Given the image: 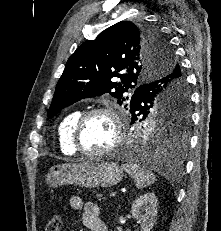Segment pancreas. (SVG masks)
Listing matches in <instances>:
<instances>
[{"mask_svg": "<svg viewBox=\"0 0 221 231\" xmlns=\"http://www.w3.org/2000/svg\"><path fill=\"white\" fill-rule=\"evenodd\" d=\"M96 196H97L100 200H101V199H104V198L102 197L101 194H97Z\"/></svg>", "mask_w": 221, "mask_h": 231, "instance_id": "cf45deb5", "label": "pancreas"}]
</instances>
